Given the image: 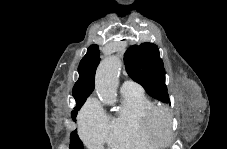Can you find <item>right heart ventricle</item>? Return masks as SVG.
Masks as SVG:
<instances>
[{
    "label": "right heart ventricle",
    "mask_w": 227,
    "mask_h": 149,
    "mask_svg": "<svg viewBox=\"0 0 227 149\" xmlns=\"http://www.w3.org/2000/svg\"><path fill=\"white\" fill-rule=\"evenodd\" d=\"M154 103L142 90L122 92V102L115 115L108 118L107 140L119 149H154L142 123L146 110Z\"/></svg>",
    "instance_id": "1"
}]
</instances>
